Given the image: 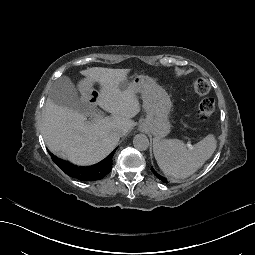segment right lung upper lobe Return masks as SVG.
Listing matches in <instances>:
<instances>
[{
  "mask_svg": "<svg viewBox=\"0 0 255 255\" xmlns=\"http://www.w3.org/2000/svg\"><path fill=\"white\" fill-rule=\"evenodd\" d=\"M114 153L115 150L103 161L88 167L76 166L61 159H58L53 155L51 156L52 160L57 164V166L68 176L77 178L81 181H96L102 179L108 173H110L112 169V157Z\"/></svg>",
  "mask_w": 255,
  "mask_h": 255,
  "instance_id": "cb5924a9",
  "label": "right lung upper lobe"
}]
</instances>
